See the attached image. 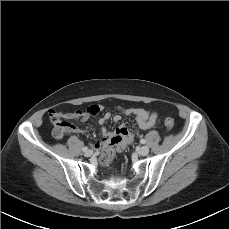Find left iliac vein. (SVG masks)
<instances>
[{"instance_id":"1","label":"left iliac vein","mask_w":229,"mask_h":229,"mask_svg":"<svg viewBox=\"0 0 229 229\" xmlns=\"http://www.w3.org/2000/svg\"><path fill=\"white\" fill-rule=\"evenodd\" d=\"M138 153L141 155V156H145L149 153V148L147 146H142L138 149Z\"/></svg>"}]
</instances>
